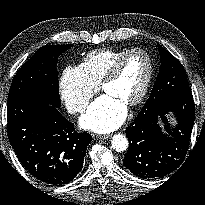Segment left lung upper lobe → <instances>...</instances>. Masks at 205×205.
Wrapping results in <instances>:
<instances>
[{
	"instance_id": "obj_1",
	"label": "left lung upper lobe",
	"mask_w": 205,
	"mask_h": 205,
	"mask_svg": "<svg viewBox=\"0 0 205 205\" xmlns=\"http://www.w3.org/2000/svg\"><path fill=\"white\" fill-rule=\"evenodd\" d=\"M158 50L161 57L159 74L144 107L153 108L174 93L190 91L182 64L160 44Z\"/></svg>"
}]
</instances>
